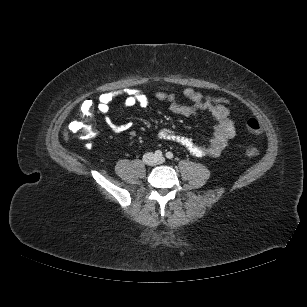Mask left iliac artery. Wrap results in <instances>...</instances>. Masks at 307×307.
<instances>
[{
	"label": "left iliac artery",
	"mask_w": 307,
	"mask_h": 307,
	"mask_svg": "<svg viewBox=\"0 0 307 307\" xmlns=\"http://www.w3.org/2000/svg\"><path fill=\"white\" fill-rule=\"evenodd\" d=\"M174 157L173 153L172 152H167L166 153V158L167 159H172Z\"/></svg>",
	"instance_id": "44dca946"
}]
</instances>
